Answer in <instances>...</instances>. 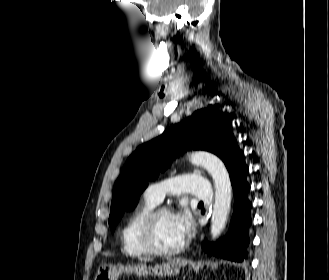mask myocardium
<instances>
[{"mask_svg": "<svg viewBox=\"0 0 329 280\" xmlns=\"http://www.w3.org/2000/svg\"><path fill=\"white\" fill-rule=\"evenodd\" d=\"M164 213H171L172 210L167 206H157L153 208L142 220L139 227V240L148 253L159 256H170L181 252L186 245L183 240L173 248H163L156 243L155 225L158 217Z\"/></svg>", "mask_w": 329, "mask_h": 280, "instance_id": "f54148a6", "label": "myocardium"}]
</instances>
